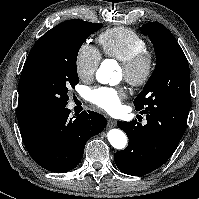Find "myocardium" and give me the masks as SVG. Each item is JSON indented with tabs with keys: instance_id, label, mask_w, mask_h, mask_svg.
<instances>
[{
	"instance_id": "f54148a6",
	"label": "myocardium",
	"mask_w": 199,
	"mask_h": 199,
	"mask_svg": "<svg viewBox=\"0 0 199 199\" xmlns=\"http://www.w3.org/2000/svg\"><path fill=\"white\" fill-rule=\"evenodd\" d=\"M121 68L125 72V79L134 87L145 86L154 73L155 61L147 50L141 51L123 61Z\"/></svg>"
}]
</instances>
